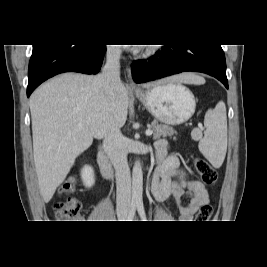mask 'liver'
Returning a JSON list of instances; mask_svg holds the SVG:
<instances>
[{
  "label": "liver",
  "instance_id": "liver-1",
  "mask_svg": "<svg viewBox=\"0 0 267 267\" xmlns=\"http://www.w3.org/2000/svg\"><path fill=\"white\" fill-rule=\"evenodd\" d=\"M165 81L205 83L203 77L193 73H182ZM128 106L125 86L121 83L118 89H107L98 76L62 74L32 93L33 155L44 202L51 200L76 157L90 147L93 138L104 137L110 124L119 127L125 124Z\"/></svg>",
  "mask_w": 267,
  "mask_h": 267
}]
</instances>
